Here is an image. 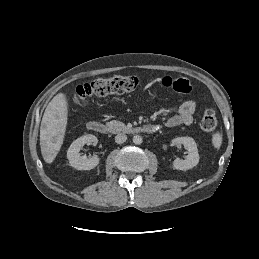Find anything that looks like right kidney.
<instances>
[{
	"label": "right kidney",
	"instance_id": "1",
	"mask_svg": "<svg viewBox=\"0 0 259 259\" xmlns=\"http://www.w3.org/2000/svg\"><path fill=\"white\" fill-rule=\"evenodd\" d=\"M98 142L97 137L92 134H87L77 138L72 142L68 151L67 158L69 160L70 166L77 170H91L94 169L99 164V158L94 155L90 158L86 156H81L79 151L87 143L96 144Z\"/></svg>",
	"mask_w": 259,
	"mask_h": 259
}]
</instances>
